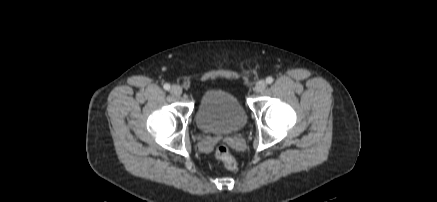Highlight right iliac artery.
<instances>
[{"mask_svg": "<svg viewBox=\"0 0 437 202\" xmlns=\"http://www.w3.org/2000/svg\"><path fill=\"white\" fill-rule=\"evenodd\" d=\"M163 87H164L165 90H169L170 89V85L168 83L164 84Z\"/></svg>", "mask_w": 437, "mask_h": 202, "instance_id": "obj_1", "label": "right iliac artery"}]
</instances>
